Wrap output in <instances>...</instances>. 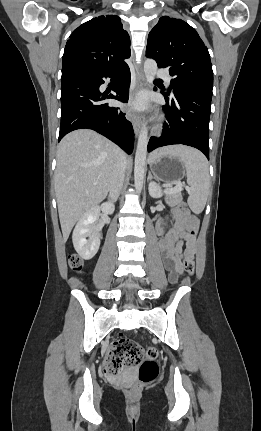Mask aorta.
<instances>
[{
    "label": "aorta",
    "instance_id": "762f6f07",
    "mask_svg": "<svg viewBox=\"0 0 261 431\" xmlns=\"http://www.w3.org/2000/svg\"><path fill=\"white\" fill-rule=\"evenodd\" d=\"M157 72V63L153 59H147L144 63V73L148 84H152L155 79ZM147 144H148V130L146 124L142 125L136 155H135V167H134V185L137 192H141L145 176V165L147 156Z\"/></svg>",
    "mask_w": 261,
    "mask_h": 431
}]
</instances>
